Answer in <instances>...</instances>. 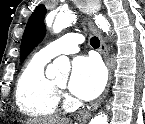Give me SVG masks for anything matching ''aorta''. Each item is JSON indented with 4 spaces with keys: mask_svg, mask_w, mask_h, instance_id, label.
<instances>
[{
    "mask_svg": "<svg viewBox=\"0 0 145 124\" xmlns=\"http://www.w3.org/2000/svg\"><path fill=\"white\" fill-rule=\"evenodd\" d=\"M75 16L71 13H59L53 24L54 33H59L63 28L68 26L73 20ZM95 23L98 25L100 29L104 32L108 33L110 30V25L107 19L101 14L95 15ZM70 71V61L67 57L61 56L53 61V63L49 64L46 69V76L50 79L58 76L60 73L68 75ZM90 124H108V119L105 114L97 115L92 118Z\"/></svg>",
    "mask_w": 145,
    "mask_h": 124,
    "instance_id": "aorta-1",
    "label": "aorta"
}]
</instances>
